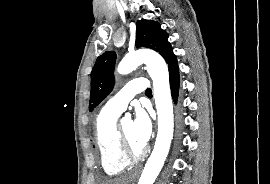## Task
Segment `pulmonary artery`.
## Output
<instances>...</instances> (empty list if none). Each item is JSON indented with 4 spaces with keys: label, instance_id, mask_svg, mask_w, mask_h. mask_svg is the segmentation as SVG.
Segmentation results:
<instances>
[{
    "label": "pulmonary artery",
    "instance_id": "obj_1",
    "mask_svg": "<svg viewBox=\"0 0 270 184\" xmlns=\"http://www.w3.org/2000/svg\"><path fill=\"white\" fill-rule=\"evenodd\" d=\"M148 89V81L145 78H136L129 81L115 96L110 98L106 106L117 112H123L130 100L138 93Z\"/></svg>",
    "mask_w": 270,
    "mask_h": 184
}]
</instances>
